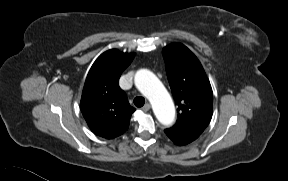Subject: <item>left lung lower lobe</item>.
<instances>
[{
  "label": "left lung lower lobe",
  "mask_w": 288,
  "mask_h": 181,
  "mask_svg": "<svg viewBox=\"0 0 288 181\" xmlns=\"http://www.w3.org/2000/svg\"><path fill=\"white\" fill-rule=\"evenodd\" d=\"M164 132L175 144L179 146L187 145L199 137L196 135H179V134H174L168 131H164Z\"/></svg>",
  "instance_id": "left-lung-lower-lobe-1"
}]
</instances>
